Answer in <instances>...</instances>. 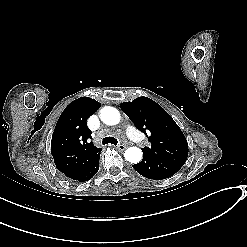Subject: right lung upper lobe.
<instances>
[{
  "label": "right lung upper lobe",
  "mask_w": 247,
  "mask_h": 247,
  "mask_svg": "<svg viewBox=\"0 0 247 247\" xmlns=\"http://www.w3.org/2000/svg\"><path fill=\"white\" fill-rule=\"evenodd\" d=\"M89 97L72 101L60 115L51 141V154L59 171L70 177L97 156L101 149L89 142L91 131L87 119L100 107Z\"/></svg>",
  "instance_id": "obj_1"
}]
</instances>
